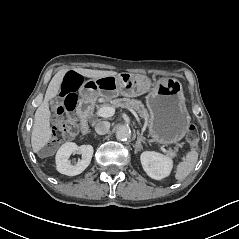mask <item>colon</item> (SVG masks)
<instances>
[{
    "instance_id": "5ec220e1",
    "label": "colon",
    "mask_w": 239,
    "mask_h": 239,
    "mask_svg": "<svg viewBox=\"0 0 239 239\" xmlns=\"http://www.w3.org/2000/svg\"><path fill=\"white\" fill-rule=\"evenodd\" d=\"M82 81V77L74 72L67 73L62 81L63 101L55 109L56 119L53 135L56 142L72 138L77 134L78 126L74 113L77 107L76 92ZM186 140L191 147H195L198 143V132L193 125L187 129Z\"/></svg>"
}]
</instances>
